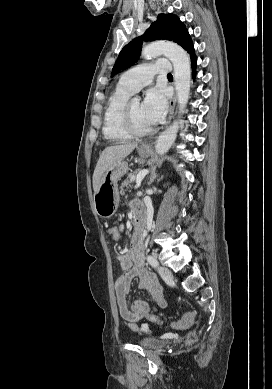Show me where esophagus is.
<instances>
[{
	"label": "esophagus",
	"mask_w": 272,
	"mask_h": 389,
	"mask_svg": "<svg viewBox=\"0 0 272 389\" xmlns=\"http://www.w3.org/2000/svg\"><path fill=\"white\" fill-rule=\"evenodd\" d=\"M175 104H176V94L174 95L173 99L170 102V112H169L168 120L166 122V126L171 122V119L174 114ZM144 147H149V145H145Z\"/></svg>",
	"instance_id": "1"
}]
</instances>
